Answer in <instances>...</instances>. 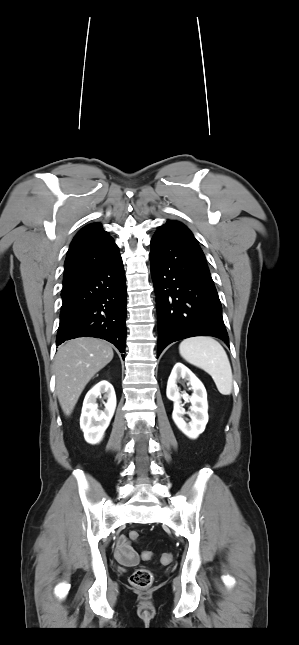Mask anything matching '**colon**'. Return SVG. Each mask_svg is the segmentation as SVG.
<instances>
[{
  "label": "colon",
  "mask_w": 299,
  "mask_h": 645,
  "mask_svg": "<svg viewBox=\"0 0 299 645\" xmlns=\"http://www.w3.org/2000/svg\"><path fill=\"white\" fill-rule=\"evenodd\" d=\"M129 537L133 541H137L139 539V533L136 531H132L129 534ZM153 557L152 552L150 551H145L142 553V558L144 560H150ZM172 560V555L170 553H163L161 554L160 561L163 564H168ZM153 580L152 573L146 569V568H139L135 570L131 576H130V583L134 587L144 589L147 588L151 585Z\"/></svg>",
  "instance_id": "obj_1"
}]
</instances>
